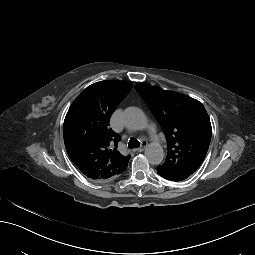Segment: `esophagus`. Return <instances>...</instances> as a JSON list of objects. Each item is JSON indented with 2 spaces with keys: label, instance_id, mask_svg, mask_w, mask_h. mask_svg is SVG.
<instances>
[{
  "label": "esophagus",
  "instance_id": "1",
  "mask_svg": "<svg viewBox=\"0 0 255 255\" xmlns=\"http://www.w3.org/2000/svg\"><path fill=\"white\" fill-rule=\"evenodd\" d=\"M144 149H145V146H142L141 148H137L136 151H137V152H143Z\"/></svg>",
  "mask_w": 255,
  "mask_h": 255
}]
</instances>
